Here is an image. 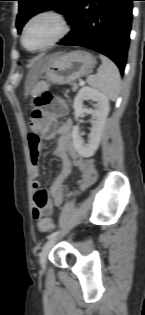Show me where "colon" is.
Returning a JSON list of instances; mask_svg holds the SVG:
<instances>
[{"mask_svg":"<svg viewBox=\"0 0 145 315\" xmlns=\"http://www.w3.org/2000/svg\"><path fill=\"white\" fill-rule=\"evenodd\" d=\"M65 109L66 107L61 100L55 98L48 92L43 93L35 100L30 125L34 126L37 121L47 117L59 116ZM38 226L41 231H50L54 228V222L49 217H43L39 220Z\"/></svg>","mask_w":145,"mask_h":315,"instance_id":"obj_1","label":"colon"}]
</instances>
